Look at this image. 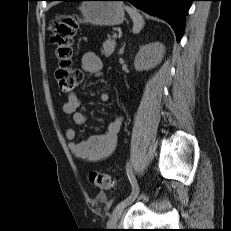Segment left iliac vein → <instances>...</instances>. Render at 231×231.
Instances as JSON below:
<instances>
[{"mask_svg": "<svg viewBox=\"0 0 231 231\" xmlns=\"http://www.w3.org/2000/svg\"><path fill=\"white\" fill-rule=\"evenodd\" d=\"M124 208H125V206L117 205V207L112 212L110 219L108 221L107 226L109 228H114L117 226L118 220L120 219V217L124 211Z\"/></svg>", "mask_w": 231, "mask_h": 231, "instance_id": "4c4485c4", "label": "left iliac vein"}]
</instances>
